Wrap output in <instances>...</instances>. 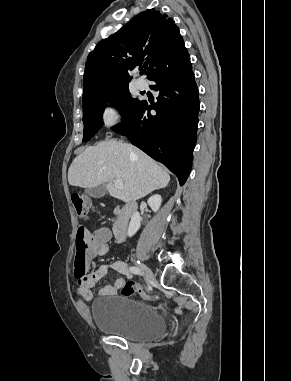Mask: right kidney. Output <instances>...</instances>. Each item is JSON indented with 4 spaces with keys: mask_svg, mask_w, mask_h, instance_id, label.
Returning <instances> with one entry per match:
<instances>
[{
    "mask_svg": "<svg viewBox=\"0 0 291 381\" xmlns=\"http://www.w3.org/2000/svg\"><path fill=\"white\" fill-rule=\"evenodd\" d=\"M161 203H162V198L158 194H155L148 199V205L151 207V209L154 212H157L159 210ZM140 226H141L140 214L139 212H135L131 217L127 235L129 237H132L138 231Z\"/></svg>",
    "mask_w": 291,
    "mask_h": 381,
    "instance_id": "ca27d5eb",
    "label": "right kidney"
}]
</instances>
